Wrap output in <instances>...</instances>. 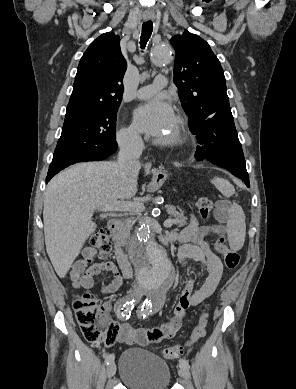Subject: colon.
<instances>
[{
	"label": "colon",
	"instance_id": "obj_1",
	"mask_svg": "<svg viewBox=\"0 0 296 389\" xmlns=\"http://www.w3.org/2000/svg\"><path fill=\"white\" fill-rule=\"evenodd\" d=\"M197 207L200 217L207 220L213 207L212 200L203 196L199 198ZM90 243L93 248L99 251L100 256L105 258L111 250V239L108 230L100 229L91 237ZM214 244L216 250L224 256L225 266L230 270L236 269L240 262L239 254L227 247L223 237H217ZM73 309L77 323L88 342L97 346H111L114 344L119 333V326L110 321L107 309L101 305L99 299L93 293L84 291L77 295L73 300ZM206 325L207 313L203 312L189 340L184 344L163 349L162 356L165 359L178 358L187 347L206 335Z\"/></svg>",
	"mask_w": 296,
	"mask_h": 389
}]
</instances>
